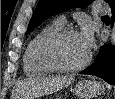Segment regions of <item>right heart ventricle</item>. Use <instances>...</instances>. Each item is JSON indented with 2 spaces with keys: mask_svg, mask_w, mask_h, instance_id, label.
<instances>
[{
  "mask_svg": "<svg viewBox=\"0 0 115 99\" xmlns=\"http://www.w3.org/2000/svg\"><path fill=\"white\" fill-rule=\"evenodd\" d=\"M62 29V25L54 22L40 29L28 43L23 55V69L27 76L40 77L52 70L43 62L40 47L43 41L52 33Z\"/></svg>",
  "mask_w": 115,
  "mask_h": 99,
  "instance_id": "obj_1",
  "label": "right heart ventricle"
}]
</instances>
